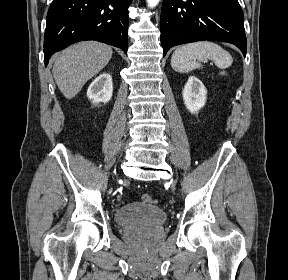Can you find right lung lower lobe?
I'll return each instance as SVG.
<instances>
[{"label": "right lung lower lobe", "instance_id": "right-lung-lower-lobe-1", "mask_svg": "<svg viewBox=\"0 0 288 280\" xmlns=\"http://www.w3.org/2000/svg\"><path fill=\"white\" fill-rule=\"evenodd\" d=\"M132 0H53L47 13L44 60L72 43L96 40L128 49V7Z\"/></svg>", "mask_w": 288, "mask_h": 280}]
</instances>
